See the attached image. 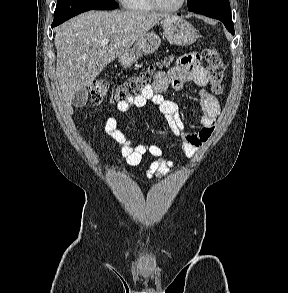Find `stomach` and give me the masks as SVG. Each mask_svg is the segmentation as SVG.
Instances as JSON below:
<instances>
[{
	"instance_id": "stomach-1",
	"label": "stomach",
	"mask_w": 288,
	"mask_h": 293,
	"mask_svg": "<svg viewBox=\"0 0 288 293\" xmlns=\"http://www.w3.org/2000/svg\"><path fill=\"white\" fill-rule=\"evenodd\" d=\"M167 40L179 46H187L198 38V31L184 19L168 15L161 21ZM161 39L155 32H147L140 36L134 46L119 57L123 67H130L142 55L154 53L160 46Z\"/></svg>"
}]
</instances>
